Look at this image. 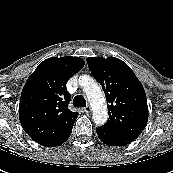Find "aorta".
<instances>
[{"label":"aorta","instance_id":"obj_1","mask_svg":"<svg viewBox=\"0 0 173 173\" xmlns=\"http://www.w3.org/2000/svg\"><path fill=\"white\" fill-rule=\"evenodd\" d=\"M79 85L84 88L88 101L93 108V121L96 125H103L108 119L106 100L100 87L88 75L79 77Z\"/></svg>","mask_w":173,"mask_h":173}]
</instances>
